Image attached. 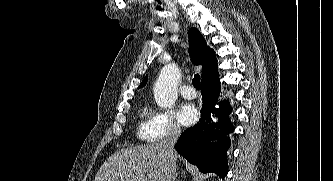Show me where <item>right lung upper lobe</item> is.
<instances>
[{"instance_id":"right-lung-upper-lobe-1","label":"right lung upper lobe","mask_w":333,"mask_h":181,"mask_svg":"<svg viewBox=\"0 0 333 181\" xmlns=\"http://www.w3.org/2000/svg\"><path fill=\"white\" fill-rule=\"evenodd\" d=\"M190 57L195 65H202V84L218 79V68L215 53L206 45V41L196 28H191L188 32ZM147 82L144 78L140 87Z\"/></svg>"}]
</instances>
